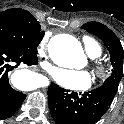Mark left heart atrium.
Segmentation results:
<instances>
[{"instance_id":"left-heart-atrium-1","label":"left heart atrium","mask_w":124,"mask_h":124,"mask_svg":"<svg viewBox=\"0 0 124 124\" xmlns=\"http://www.w3.org/2000/svg\"><path fill=\"white\" fill-rule=\"evenodd\" d=\"M50 75L59 85L72 90L86 89L92 82L91 75L84 70L52 68Z\"/></svg>"}]
</instances>
